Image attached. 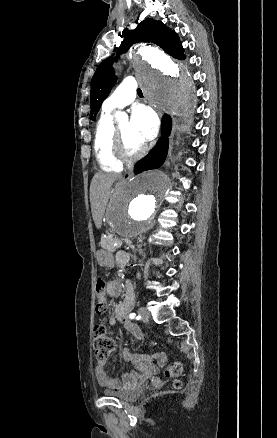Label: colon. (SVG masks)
Here are the masks:
<instances>
[{"label": "colon", "instance_id": "5ec220e1", "mask_svg": "<svg viewBox=\"0 0 277 438\" xmlns=\"http://www.w3.org/2000/svg\"><path fill=\"white\" fill-rule=\"evenodd\" d=\"M96 293H97V302L95 305V311L98 314H104L108 310V304L106 302V282L102 276H98L96 279ZM115 346L114 338L112 334L109 332L107 327L103 324H98L94 327L93 330V347L95 349L97 357L106 361L113 351ZM183 371V364L181 361H173V363L165 369L164 375L167 378L178 376ZM173 389H188L189 381L188 380H173L172 381Z\"/></svg>", "mask_w": 277, "mask_h": 438}]
</instances>
